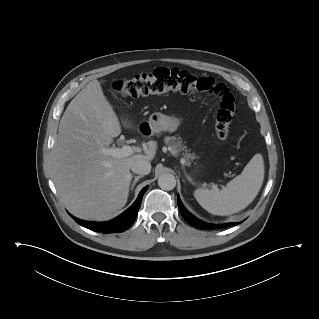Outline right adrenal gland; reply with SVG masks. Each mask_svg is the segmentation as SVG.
<instances>
[{"mask_svg": "<svg viewBox=\"0 0 319 319\" xmlns=\"http://www.w3.org/2000/svg\"><path fill=\"white\" fill-rule=\"evenodd\" d=\"M142 177H143V175L135 176V177H134V180H133L132 185H131V191H133V189H134V187H135L137 181H138L140 178H142Z\"/></svg>", "mask_w": 319, "mask_h": 319, "instance_id": "right-adrenal-gland-1", "label": "right adrenal gland"}]
</instances>
